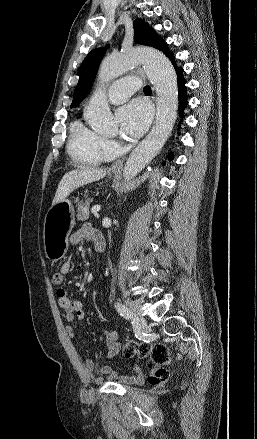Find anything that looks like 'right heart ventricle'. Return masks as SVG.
I'll use <instances>...</instances> for the list:
<instances>
[{"label": "right heart ventricle", "instance_id": "e07e8e85", "mask_svg": "<svg viewBox=\"0 0 257 439\" xmlns=\"http://www.w3.org/2000/svg\"><path fill=\"white\" fill-rule=\"evenodd\" d=\"M103 138L96 132L75 122L70 128L68 152L80 166H97L106 159L101 145Z\"/></svg>", "mask_w": 257, "mask_h": 439}]
</instances>
